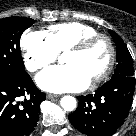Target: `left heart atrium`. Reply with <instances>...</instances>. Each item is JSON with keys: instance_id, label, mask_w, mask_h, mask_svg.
Instances as JSON below:
<instances>
[{"instance_id": "1", "label": "left heart atrium", "mask_w": 136, "mask_h": 136, "mask_svg": "<svg viewBox=\"0 0 136 136\" xmlns=\"http://www.w3.org/2000/svg\"><path fill=\"white\" fill-rule=\"evenodd\" d=\"M37 85L48 92H75L84 90L90 80L75 65L53 66L36 77Z\"/></svg>"}]
</instances>
